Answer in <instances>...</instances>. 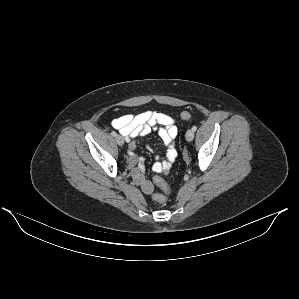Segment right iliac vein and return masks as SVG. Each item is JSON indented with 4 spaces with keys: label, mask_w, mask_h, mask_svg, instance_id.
<instances>
[{
    "label": "right iliac vein",
    "mask_w": 299,
    "mask_h": 299,
    "mask_svg": "<svg viewBox=\"0 0 299 299\" xmlns=\"http://www.w3.org/2000/svg\"><path fill=\"white\" fill-rule=\"evenodd\" d=\"M116 142L118 143V145L123 146L124 145V138L121 135H117L116 136Z\"/></svg>",
    "instance_id": "obj_1"
}]
</instances>
